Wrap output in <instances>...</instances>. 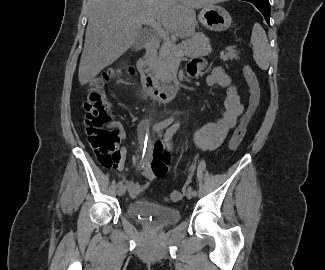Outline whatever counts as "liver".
I'll return each mask as SVG.
<instances>
[{
  "label": "liver",
  "mask_w": 325,
  "mask_h": 270,
  "mask_svg": "<svg viewBox=\"0 0 325 270\" xmlns=\"http://www.w3.org/2000/svg\"><path fill=\"white\" fill-rule=\"evenodd\" d=\"M214 0H90L88 25L78 79L86 85L104 68L115 62L141 33L139 17H150L180 38L195 33V8L212 5Z\"/></svg>",
  "instance_id": "6515ba94"
}]
</instances>
